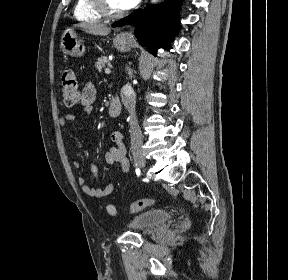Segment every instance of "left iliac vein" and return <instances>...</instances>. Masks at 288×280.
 Wrapping results in <instances>:
<instances>
[{
  "mask_svg": "<svg viewBox=\"0 0 288 280\" xmlns=\"http://www.w3.org/2000/svg\"><path fill=\"white\" fill-rule=\"evenodd\" d=\"M138 163H139V166L141 168H143L145 166V164H146V161H145V159H138Z\"/></svg>",
  "mask_w": 288,
  "mask_h": 280,
  "instance_id": "left-iliac-vein-1",
  "label": "left iliac vein"
}]
</instances>
